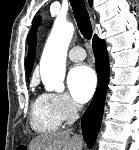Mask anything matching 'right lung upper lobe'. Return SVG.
I'll return each instance as SVG.
<instances>
[{
  "mask_svg": "<svg viewBox=\"0 0 139 150\" xmlns=\"http://www.w3.org/2000/svg\"><path fill=\"white\" fill-rule=\"evenodd\" d=\"M90 4L92 3L91 0H89ZM36 36L33 37L30 48H29V52H28V57H27V69H26V78L28 79L32 68H33V64H34V60H35V52H36Z\"/></svg>",
  "mask_w": 139,
  "mask_h": 150,
  "instance_id": "right-lung-upper-lobe-1",
  "label": "right lung upper lobe"
}]
</instances>
